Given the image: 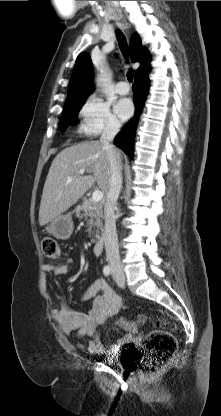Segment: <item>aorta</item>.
<instances>
[{"label":"aorta","mask_w":221,"mask_h":416,"mask_svg":"<svg viewBox=\"0 0 221 416\" xmlns=\"http://www.w3.org/2000/svg\"><path fill=\"white\" fill-rule=\"evenodd\" d=\"M105 80L104 75H99L97 78V83L100 85Z\"/></svg>","instance_id":"762f6f07"}]
</instances>
